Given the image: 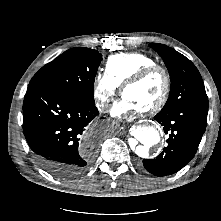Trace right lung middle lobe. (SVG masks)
I'll list each match as a JSON object with an SVG mask.
<instances>
[{
  "label": "right lung middle lobe",
  "mask_w": 221,
  "mask_h": 221,
  "mask_svg": "<svg viewBox=\"0 0 221 221\" xmlns=\"http://www.w3.org/2000/svg\"><path fill=\"white\" fill-rule=\"evenodd\" d=\"M101 59L102 55L97 50L69 49L42 67L31 79L28 89L43 87L95 104L93 85Z\"/></svg>",
  "instance_id": "obj_1"
}]
</instances>
